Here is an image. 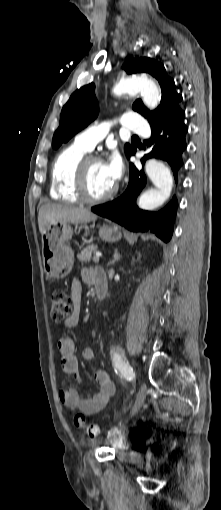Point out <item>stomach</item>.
Wrapping results in <instances>:
<instances>
[{"mask_svg": "<svg viewBox=\"0 0 221 510\" xmlns=\"http://www.w3.org/2000/svg\"><path fill=\"white\" fill-rule=\"evenodd\" d=\"M86 234L89 227L84 226ZM73 229L69 223L56 221L50 224L42 235V257L44 268L52 279H62L72 270L74 252L68 244L72 238ZM101 239L116 242L122 233L114 224L103 225L99 230Z\"/></svg>", "mask_w": 221, "mask_h": 510, "instance_id": "stomach-1", "label": "stomach"}]
</instances>
